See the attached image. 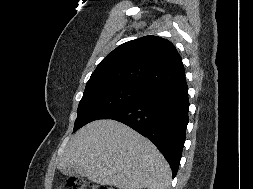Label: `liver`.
<instances>
[{"label":"liver","instance_id":"obj_1","mask_svg":"<svg viewBox=\"0 0 253 189\" xmlns=\"http://www.w3.org/2000/svg\"><path fill=\"white\" fill-rule=\"evenodd\" d=\"M78 165L82 175L119 189H168L171 169L154 144L115 120L93 121L72 137L59 170Z\"/></svg>","mask_w":253,"mask_h":189}]
</instances>
